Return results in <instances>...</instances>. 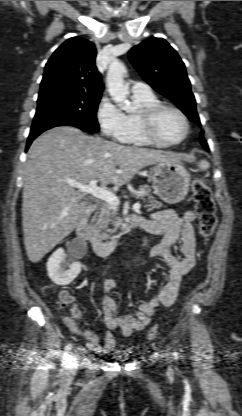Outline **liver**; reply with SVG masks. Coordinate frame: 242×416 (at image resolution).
<instances>
[{"instance_id":"liver-1","label":"liver","mask_w":242,"mask_h":416,"mask_svg":"<svg viewBox=\"0 0 242 416\" xmlns=\"http://www.w3.org/2000/svg\"><path fill=\"white\" fill-rule=\"evenodd\" d=\"M179 160L156 150L123 146L78 128L60 126L31 144L23 189V232L27 256L37 263L77 226L87 207L69 182L92 180L104 187L128 183L159 162Z\"/></svg>"}]
</instances>
